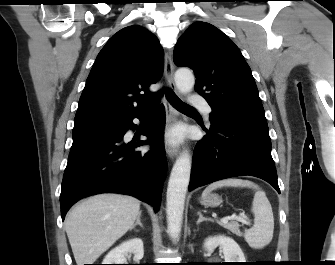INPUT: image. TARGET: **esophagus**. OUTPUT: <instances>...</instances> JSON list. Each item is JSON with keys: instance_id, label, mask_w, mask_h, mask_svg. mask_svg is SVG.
<instances>
[{"instance_id": "obj_1", "label": "esophagus", "mask_w": 335, "mask_h": 265, "mask_svg": "<svg viewBox=\"0 0 335 265\" xmlns=\"http://www.w3.org/2000/svg\"><path fill=\"white\" fill-rule=\"evenodd\" d=\"M164 73L165 78L167 80L168 86L172 91L176 92V85L174 82V65H173V59L172 54L170 51H167L165 53V61H164ZM164 105L166 109L167 114V122L168 126L170 127L172 124H174L177 120L176 112L173 109L171 103L167 100L166 97H164ZM166 153L170 158H174L178 154V149L171 144L166 145Z\"/></svg>"}]
</instances>
